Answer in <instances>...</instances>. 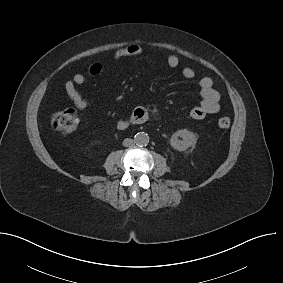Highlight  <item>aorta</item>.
<instances>
[{
  "mask_svg": "<svg viewBox=\"0 0 283 283\" xmlns=\"http://www.w3.org/2000/svg\"><path fill=\"white\" fill-rule=\"evenodd\" d=\"M134 141L139 146H145L149 142V136L145 132H138L134 136Z\"/></svg>",
  "mask_w": 283,
  "mask_h": 283,
  "instance_id": "obj_1",
  "label": "aorta"
}]
</instances>
